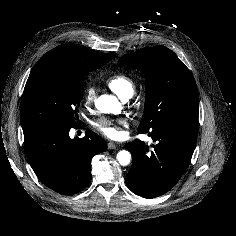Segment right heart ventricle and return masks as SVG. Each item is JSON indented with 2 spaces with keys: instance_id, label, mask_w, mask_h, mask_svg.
I'll use <instances>...</instances> for the list:
<instances>
[{
  "instance_id": "1",
  "label": "right heart ventricle",
  "mask_w": 236,
  "mask_h": 236,
  "mask_svg": "<svg viewBox=\"0 0 236 236\" xmlns=\"http://www.w3.org/2000/svg\"><path fill=\"white\" fill-rule=\"evenodd\" d=\"M106 85L120 98L130 97L135 90L133 80L122 73L114 74L106 80Z\"/></svg>"
}]
</instances>
